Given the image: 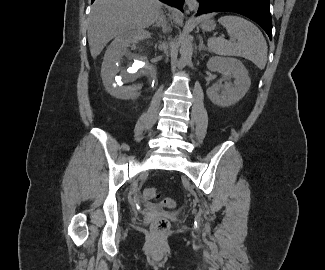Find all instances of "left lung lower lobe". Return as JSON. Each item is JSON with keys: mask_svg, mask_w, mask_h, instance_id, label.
Wrapping results in <instances>:
<instances>
[{"mask_svg": "<svg viewBox=\"0 0 325 270\" xmlns=\"http://www.w3.org/2000/svg\"><path fill=\"white\" fill-rule=\"evenodd\" d=\"M198 15L210 12L230 11L244 15L259 24L272 37L270 0H198Z\"/></svg>", "mask_w": 325, "mask_h": 270, "instance_id": "left-lung-lower-lobe-1", "label": "left lung lower lobe"}]
</instances>
